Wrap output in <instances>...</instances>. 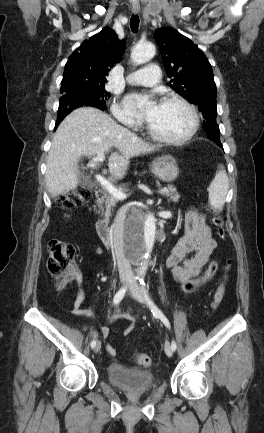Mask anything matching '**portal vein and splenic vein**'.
<instances>
[{
    "instance_id": "18ae733b",
    "label": "portal vein and splenic vein",
    "mask_w": 264,
    "mask_h": 433,
    "mask_svg": "<svg viewBox=\"0 0 264 433\" xmlns=\"http://www.w3.org/2000/svg\"><path fill=\"white\" fill-rule=\"evenodd\" d=\"M105 159L104 153H99L96 157L92 158L91 161L88 163V166L91 168L96 167L100 162H103ZM95 178L97 180V182L103 187L105 188L109 194L113 195V197L117 200H124L127 198V195L118 190L117 188H115L111 182H109L108 180H106L104 177H102L99 174L95 175ZM169 189L167 188H162L159 190L160 194H165L168 193Z\"/></svg>"
}]
</instances>
